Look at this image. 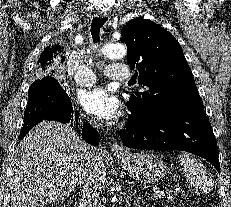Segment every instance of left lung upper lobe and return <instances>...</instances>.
I'll return each mask as SVG.
<instances>
[{"label":"left lung upper lobe","instance_id":"left-lung-upper-lobe-1","mask_svg":"<svg viewBox=\"0 0 231 207\" xmlns=\"http://www.w3.org/2000/svg\"><path fill=\"white\" fill-rule=\"evenodd\" d=\"M127 44V62L136 69L144 91H134L126 103L131 115L156 116L202 104L182 48L160 25L137 18L121 30Z\"/></svg>","mask_w":231,"mask_h":207}]
</instances>
